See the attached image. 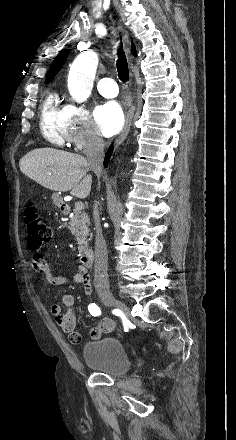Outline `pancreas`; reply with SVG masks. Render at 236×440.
Returning a JSON list of instances; mask_svg holds the SVG:
<instances>
[{
    "instance_id": "pancreas-1",
    "label": "pancreas",
    "mask_w": 236,
    "mask_h": 440,
    "mask_svg": "<svg viewBox=\"0 0 236 440\" xmlns=\"http://www.w3.org/2000/svg\"><path fill=\"white\" fill-rule=\"evenodd\" d=\"M90 219L85 212L74 209L73 216L69 221V230L78 242V250L80 253L87 250L89 235Z\"/></svg>"
}]
</instances>
